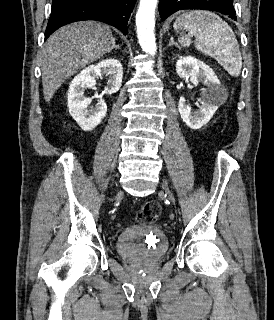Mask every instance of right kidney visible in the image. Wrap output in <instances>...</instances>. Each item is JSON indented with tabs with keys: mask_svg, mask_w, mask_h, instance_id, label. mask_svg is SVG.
<instances>
[{
	"mask_svg": "<svg viewBox=\"0 0 274 320\" xmlns=\"http://www.w3.org/2000/svg\"><path fill=\"white\" fill-rule=\"evenodd\" d=\"M108 76L106 94H116L121 88L123 78V68L119 60L109 58L101 60L95 66H89L82 70L80 74L72 80L68 90V108L70 116L77 122L84 132H92L96 126H99L107 114L105 100H98L95 108H89L92 98H85V90L95 86V78L98 76Z\"/></svg>",
	"mask_w": 274,
	"mask_h": 320,
	"instance_id": "obj_1",
	"label": "right kidney"
}]
</instances>
